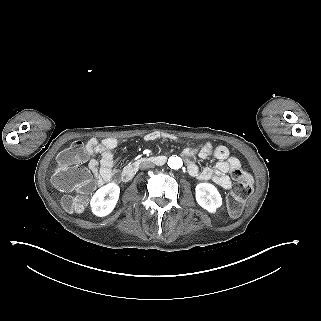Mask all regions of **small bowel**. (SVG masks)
<instances>
[{
	"label": "small bowel",
	"mask_w": 321,
	"mask_h": 321,
	"mask_svg": "<svg viewBox=\"0 0 321 321\" xmlns=\"http://www.w3.org/2000/svg\"><path fill=\"white\" fill-rule=\"evenodd\" d=\"M173 139V136L165 135L160 132H151L144 137L147 142L159 139ZM118 146L115 138H91L85 144L88 167L95 177L98 186L112 181L116 176L113 150ZM99 156V159L96 157ZM183 156L187 162V169L191 176L201 181L212 180L224 189L232 187L230 173L233 169L240 167V162L236 157L230 156L226 146L220 145L213 147L211 143H204L196 147H189L183 151ZM217 159L213 167L200 169L195 163L196 158L207 159L210 157Z\"/></svg>",
	"instance_id": "c3829d8e"
}]
</instances>
